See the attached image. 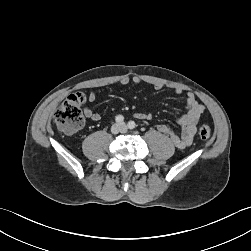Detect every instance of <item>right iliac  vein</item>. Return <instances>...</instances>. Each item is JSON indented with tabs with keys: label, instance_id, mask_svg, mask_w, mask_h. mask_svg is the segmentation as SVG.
I'll return each instance as SVG.
<instances>
[{
	"label": "right iliac vein",
	"instance_id": "1",
	"mask_svg": "<svg viewBox=\"0 0 251 251\" xmlns=\"http://www.w3.org/2000/svg\"><path fill=\"white\" fill-rule=\"evenodd\" d=\"M121 130V126L119 124H115L112 126L111 131L112 133L116 134Z\"/></svg>",
	"mask_w": 251,
	"mask_h": 251
}]
</instances>
